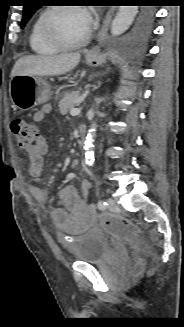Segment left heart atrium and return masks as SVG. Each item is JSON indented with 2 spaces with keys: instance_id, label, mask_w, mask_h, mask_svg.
Wrapping results in <instances>:
<instances>
[{
  "instance_id": "obj_1",
  "label": "left heart atrium",
  "mask_w": 184,
  "mask_h": 327,
  "mask_svg": "<svg viewBox=\"0 0 184 327\" xmlns=\"http://www.w3.org/2000/svg\"><path fill=\"white\" fill-rule=\"evenodd\" d=\"M81 11L83 12V14L85 16V19H86L88 25L90 26L92 24V21H93L91 14L88 11H85V10H81Z\"/></svg>"
}]
</instances>
